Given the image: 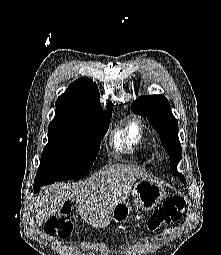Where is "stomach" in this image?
Returning a JSON list of instances; mask_svg holds the SVG:
<instances>
[{"mask_svg": "<svg viewBox=\"0 0 221 255\" xmlns=\"http://www.w3.org/2000/svg\"><path fill=\"white\" fill-rule=\"evenodd\" d=\"M165 190L156 180L150 178L139 179L132 190L133 205L143 211L151 210L164 198ZM130 201L118 203L111 213V219L116 223L126 222L132 213Z\"/></svg>", "mask_w": 221, "mask_h": 255, "instance_id": "stomach-1", "label": "stomach"}]
</instances>
